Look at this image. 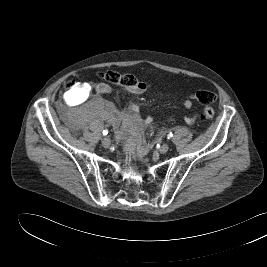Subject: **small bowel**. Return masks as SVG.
<instances>
[{
	"mask_svg": "<svg viewBox=\"0 0 267 267\" xmlns=\"http://www.w3.org/2000/svg\"><path fill=\"white\" fill-rule=\"evenodd\" d=\"M148 88L149 85L142 82L137 87L127 88V91L132 94H142L146 92ZM95 90L96 93L99 95H108L112 91L111 87L104 82L96 84ZM182 106L186 110H190L193 104L191 100L187 99L182 102ZM108 119L109 121H111V123H113L114 126H119L121 123H124L134 137L137 136L138 132L142 127L151 125L154 122V117L152 116H148L144 119L141 118L140 108L137 104L130 105L127 112L112 111V113L108 116ZM185 121L189 124H192L195 120L190 117H185ZM138 150L142 152L143 146L139 145Z\"/></svg>",
	"mask_w": 267,
	"mask_h": 267,
	"instance_id": "c3829d8e",
	"label": "small bowel"
}]
</instances>
